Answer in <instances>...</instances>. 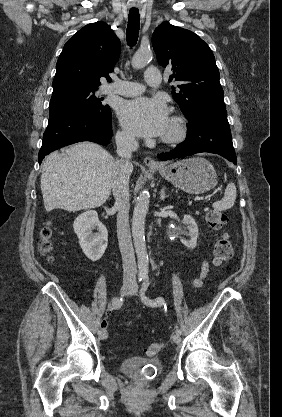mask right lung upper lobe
I'll return each instance as SVG.
<instances>
[{"label":"right lung upper lobe","mask_w":282,"mask_h":417,"mask_svg":"<svg viewBox=\"0 0 282 417\" xmlns=\"http://www.w3.org/2000/svg\"><path fill=\"white\" fill-rule=\"evenodd\" d=\"M120 50V40L106 23L86 25L63 47L56 64L53 93L97 88L101 77L111 80L108 73L113 71Z\"/></svg>","instance_id":"obj_1"}]
</instances>
